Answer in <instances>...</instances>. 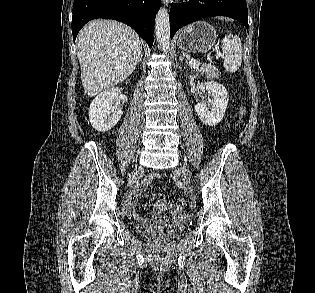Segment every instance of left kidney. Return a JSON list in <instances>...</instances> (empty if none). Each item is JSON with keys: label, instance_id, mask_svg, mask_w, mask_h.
<instances>
[{"label": "left kidney", "instance_id": "1", "mask_svg": "<svg viewBox=\"0 0 315 293\" xmlns=\"http://www.w3.org/2000/svg\"><path fill=\"white\" fill-rule=\"evenodd\" d=\"M206 90L212 98V100H209L210 110L206 109L205 104L198 103L195 105V111L204 124L215 126L224 117L229 95L222 84L213 81L207 82Z\"/></svg>", "mask_w": 315, "mask_h": 293}]
</instances>
